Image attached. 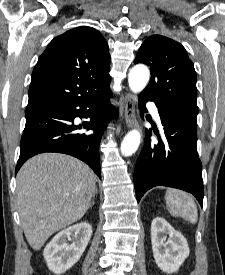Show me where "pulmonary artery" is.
Wrapping results in <instances>:
<instances>
[{
  "instance_id": "obj_1",
  "label": "pulmonary artery",
  "mask_w": 225,
  "mask_h": 275,
  "mask_svg": "<svg viewBox=\"0 0 225 275\" xmlns=\"http://www.w3.org/2000/svg\"><path fill=\"white\" fill-rule=\"evenodd\" d=\"M149 107L152 111V114H153V117L157 120V121H160V116H159V113H158V110H157V107L154 103H149Z\"/></svg>"
}]
</instances>
